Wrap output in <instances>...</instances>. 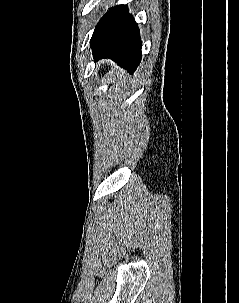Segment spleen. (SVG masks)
Returning <instances> with one entry per match:
<instances>
[{
    "mask_svg": "<svg viewBox=\"0 0 239 303\" xmlns=\"http://www.w3.org/2000/svg\"><path fill=\"white\" fill-rule=\"evenodd\" d=\"M112 65V64H111ZM112 67H114V65H112ZM114 69H115V67H114ZM111 73H113V72H111Z\"/></svg>",
    "mask_w": 239,
    "mask_h": 303,
    "instance_id": "spleen-1",
    "label": "spleen"
}]
</instances>
